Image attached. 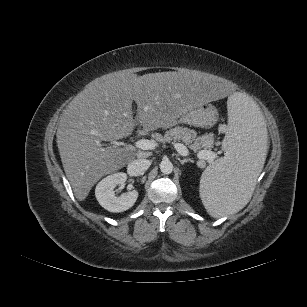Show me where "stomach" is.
Masks as SVG:
<instances>
[{
  "mask_svg": "<svg viewBox=\"0 0 307 307\" xmlns=\"http://www.w3.org/2000/svg\"><path fill=\"white\" fill-rule=\"evenodd\" d=\"M217 119V109L212 104L203 103L194 106L182 114L179 118L173 121L170 126L177 123H185L196 127H210L217 121Z\"/></svg>",
  "mask_w": 307,
  "mask_h": 307,
  "instance_id": "0dacf381",
  "label": "stomach"
}]
</instances>
